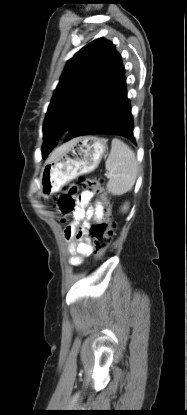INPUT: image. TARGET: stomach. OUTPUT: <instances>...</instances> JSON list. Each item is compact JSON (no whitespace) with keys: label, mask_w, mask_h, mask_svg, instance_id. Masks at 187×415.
<instances>
[{"label":"stomach","mask_w":187,"mask_h":415,"mask_svg":"<svg viewBox=\"0 0 187 415\" xmlns=\"http://www.w3.org/2000/svg\"><path fill=\"white\" fill-rule=\"evenodd\" d=\"M107 150V140L83 136L71 141L68 149L47 162L40 176V193L48 197L79 175L97 168Z\"/></svg>","instance_id":"obj_1"}]
</instances>
